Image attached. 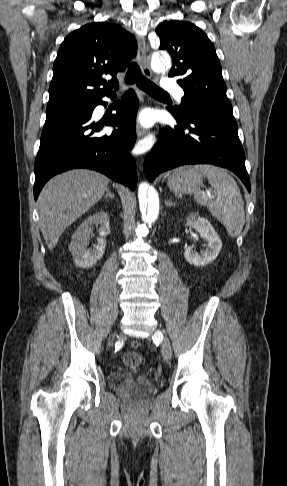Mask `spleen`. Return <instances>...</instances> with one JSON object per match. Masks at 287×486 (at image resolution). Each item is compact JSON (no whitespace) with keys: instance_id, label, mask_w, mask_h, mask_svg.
Here are the masks:
<instances>
[{"instance_id":"obj_1","label":"spleen","mask_w":287,"mask_h":486,"mask_svg":"<svg viewBox=\"0 0 287 486\" xmlns=\"http://www.w3.org/2000/svg\"><path fill=\"white\" fill-rule=\"evenodd\" d=\"M197 170L204 173L214 188L215 198L199 190L194 199L208 208L210 213L221 222L231 237H237L245 224V211L242 195L234 178L227 170L212 166L198 165Z\"/></svg>"}]
</instances>
